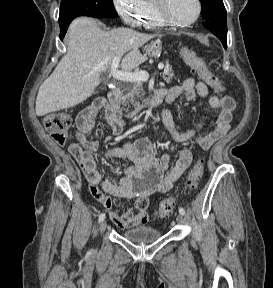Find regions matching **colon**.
Listing matches in <instances>:
<instances>
[{
	"instance_id": "1",
	"label": "colon",
	"mask_w": 273,
	"mask_h": 288,
	"mask_svg": "<svg viewBox=\"0 0 273 288\" xmlns=\"http://www.w3.org/2000/svg\"><path fill=\"white\" fill-rule=\"evenodd\" d=\"M181 54L186 63L197 72L199 77L204 80L216 92H223L224 88L218 78L212 74L205 63L192 50L182 47ZM43 124L45 129L50 134L51 138L60 146H63L69 140V130L72 124V119L65 112H53L44 117ZM204 173V161L198 160L191 171L189 172L185 183V191H193L197 188ZM175 199L170 197L164 199L156 212L159 218H167L173 214L175 210Z\"/></svg>"
}]
</instances>
